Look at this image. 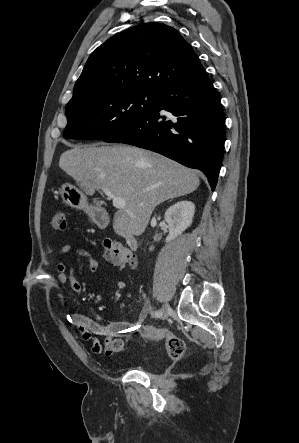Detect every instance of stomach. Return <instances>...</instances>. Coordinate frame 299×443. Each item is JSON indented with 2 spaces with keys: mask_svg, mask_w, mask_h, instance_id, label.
<instances>
[{
  "mask_svg": "<svg viewBox=\"0 0 299 443\" xmlns=\"http://www.w3.org/2000/svg\"><path fill=\"white\" fill-rule=\"evenodd\" d=\"M60 193L66 204L76 209L86 210L90 218L94 222L100 224L98 219L94 216L93 209L88 205L87 198L82 191L69 183H65L62 185Z\"/></svg>",
  "mask_w": 299,
  "mask_h": 443,
  "instance_id": "0dacf381",
  "label": "stomach"
}]
</instances>
